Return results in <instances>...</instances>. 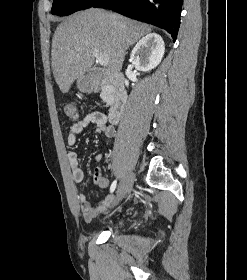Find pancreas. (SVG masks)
<instances>
[{"mask_svg": "<svg viewBox=\"0 0 247 280\" xmlns=\"http://www.w3.org/2000/svg\"><path fill=\"white\" fill-rule=\"evenodd\" d=\"M100 97L105 100L106 99V92L105 91H102Z\"/></svg>", "mask_w": 247, "mask_h": 280, "instance_id": "obj_1", "label": "pancreas"}]
</instances>
